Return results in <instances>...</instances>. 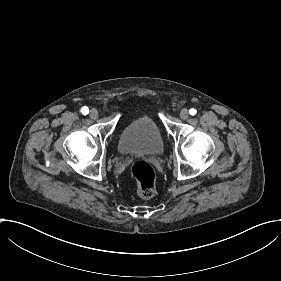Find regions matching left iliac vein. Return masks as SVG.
<instances>
[{
  "mask_svg": "<svg viewBox=\"0 0 281 281\" xmlns=\"http://www.w3.org/2000/svg\"><path fill=\"white\" fill-rule=\"evenodd\" d=\"M180 117H181V119H183V120L188 119V117H189V112H188V110L185 109V108L182 109L181 112H180Z\"/></svg>",
  "mask_w": 281,
  "mask_h": 281,
  "instance_id": "obj_1",
  "label": "left iliac vein"
}]
</instances>
